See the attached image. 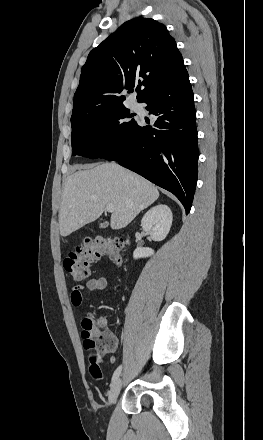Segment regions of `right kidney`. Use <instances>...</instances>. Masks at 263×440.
Instances as JSON below:
<instances>
[{"mask_svg": "<svg viewBox=\"0 0 263 440\" xmlns=\"http://www.w3.org/2000/svg\"><path fill=\"white\" fill-rule=\"evenodd\" d=\"M172 211L164 204L149 209L141 220L142 229L150 234L154 241H162L168 235L172 225ZM154 254L151 248L138 247L133 252L134 259L146 258Z\"/></svg>", "mask_w": 263, "mask_h": 440, "instance_id": "ca27d5eb", "label": "right kidney"}]
</instances>
